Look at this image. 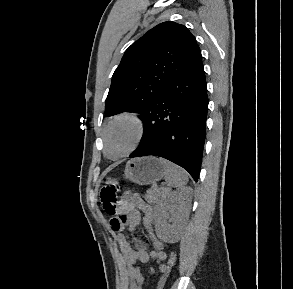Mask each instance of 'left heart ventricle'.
Wrapping results in <instances>:
<instances>
[{
    "instance_id": "b2bd125f",
    "label": "left heart ventricle",
    "mask_w": 293,
    "mask_h": 289,
    "mask_svg": "<svg viewBox=\"0 0 293 289\" xmlns=\"http://www.w3.org/2000/svg\"><path fill=\"white\" fill-rule=\"evenodd\" d=\"M134 139V127L127 121L115 123L108 133L107 152L110 156H118L125 152Z\"/></svg>"
}]
</instances>
